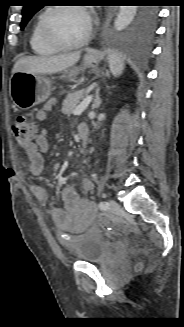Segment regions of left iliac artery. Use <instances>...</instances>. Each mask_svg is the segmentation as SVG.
I'll use <instances>...</instances> for the list:
<instances>
[{
	"mask_svg": "<svg viewBox=\"0 0 184 327\" xmlns=\"http://www.w3.org/2000/svg\"><path fill=\"white\" fill-rule=\"evenodd\" d=\"M99 208L101 210H107L109 208V203L106 201H102L99 203Z\"/></svg>",
	"mask_w": 184,
	"mask_h": 327,
	"instance_id": "obj_1",
	"label": "left iliac artery"
}]
</instances>
